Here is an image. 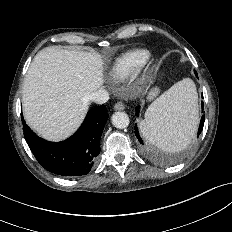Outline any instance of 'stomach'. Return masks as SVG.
I'll list each match as a JSON object with an SVG mask.
<instances>
[{"mask_svg":"<svg viewBox=\"0 0 232 232\" xmlns=\"http://www.w3.org/2000/svg\"><path fill=\"white\" fill-rule=\"evenodd\" d=\"M159 93V90L157 88H154L149 92L148 99L152 100L155 96H157Z\"/></svg>","mask_w":232,"mask_h":232,"instance_id":"0dacf381","label":"stomach"}]
</instances>
